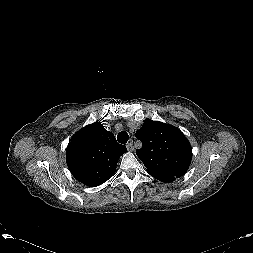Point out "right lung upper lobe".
Segmentation results:
<instances>
[{
    "label": "right lung upper lobe",
    "mask_w": 253,
    "mask_h": 253,
    "mask_svg": "<svg viewBox=\"0 0 253 253\" xmlns=\"http://www.w3.org/2000/svg\"><path fill=\"white\" fill-rule=\"evenodd\" d=\"M126 151L111 132L96 122L72 137L67 146L66 161L78 181L96 187L113 175L118 159Z\"/></svg>",
    "instance_id": "1"
}]
</instances>
